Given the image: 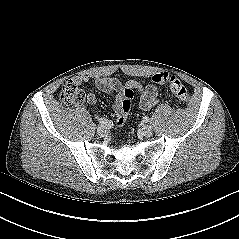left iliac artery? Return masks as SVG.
I'll list each match as a JSON object with an SVG mask.
<instances>
[{
	"label": "left iliac artery",
	"instance_id": "44dca946",
	"mask_svg": "<svg viewBox=\"0 0 239 239\" xmlns=\"http://www.w3.org/2000/svg\"><path fill=\"white\" fill-rule=\"evenodd\" d=\"M143 121H144V122H148V121H149V117H148V116H144V117H143Z\"/></svg>",
	"mask_w": 239,
	"mask_h": 239
}]
</instances>
